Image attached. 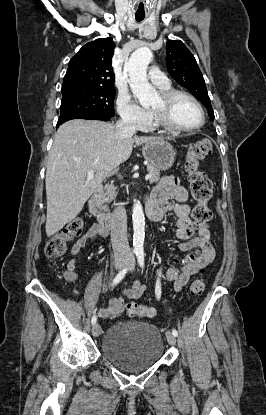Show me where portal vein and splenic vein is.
<instances>
[{
	"label": "portal vein and splenic vein",
	"mask_w": 266,
	"mask_h": 415,
	"mask_svg": "<svg viewBox=\"0 0 266 415\" xmlns=\"http://www.w3.org/2000/svg\"><path fill=\"white\" fill-rule=\"evenodd\" d=\"M93 175H94V171L93 170L89 171L88 174H87V179L90 180L93 177ZM151 176H152L151 174H147L145 176V180L150 179Z\"/></svg>",
	"instance_id": "obj_1"
}]
</instances>
